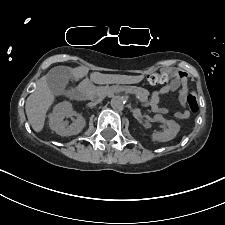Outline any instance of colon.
Segmentation results:
<instances>
[{"instance_id": "colon-1", "label": "colon", "mask_w": 225, "mask_h": 225, "mask_svg": "<svg viewBox=\"0 0 225 225\" xmlns=\"http://www.w3.org/2000/svg\"><path fill=\"white\" fill-rule=\"evenodd\" d=\"M183 79L184 77L182 74L172 76L167 73H150L147 76V82L151 85L167 84L171 80L174 82H180ZM187 104L191 112L195 113L199 110V103L195 93L192 92L187 96Z\"/></svg>"}]
</instances>
